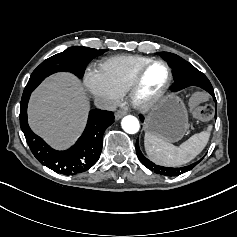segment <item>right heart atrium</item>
Masks as SVG:
<instances>
[{"mask_svg": "<svg viewBox=\"0 0 237 237\" xmlns=\"http://www.w3.org/2000/svg\"><path fill=\"white\" fill-rule=\"evenodd\" d=\"M84 85L95 102L105 109L113 108L121 94L99 67H90L84 74Z\"/></svg>", "mask_w": 237, "mask_h": 237, "instance_id": "obj_1", "label": "right heart atrium"}]
</instances>
